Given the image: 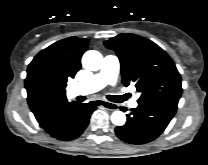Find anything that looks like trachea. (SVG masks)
Segmentation results:
<instances>
[{
    "mask_svg": "<svg viewBox=\"0 0 208 165\" xmlns=\"http://www.w3.org/2000/svg\"><path fill=\"white\" fill-rule=\"evenodd\" d=\"M131 96L130 93H127L125 95L122 96H109V100L116 102V103H122L123 101H125L127 98H129Z\"/></svg>",
    "mask_w": 208,
    "mask_h": 165,
    "instance_id": "obj_1",
    "label": "trachea"
}]
</instances>
